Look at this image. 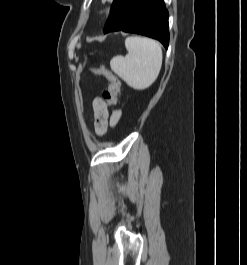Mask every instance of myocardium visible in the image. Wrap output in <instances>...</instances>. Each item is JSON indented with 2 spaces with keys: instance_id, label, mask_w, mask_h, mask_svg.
Segmentation results:
<instances>
[{
  "instance_id": "myocardium-1",
  "label": "myocardium",
  "mask_w": 247,
  "mask_h": 265,
  "mask_svg": "<svg viewBox=\"0 0 247 265\" xmlns=\"http://www.w3.org/2000/svg\"><path fill=\"white\" fill-rule=\"evenodd\" d=\"M107 12H108V8L107 7H100L99 8V10H98V13L100 14V15H105V14H107Z\"/></svg>"
}]
</instances>
